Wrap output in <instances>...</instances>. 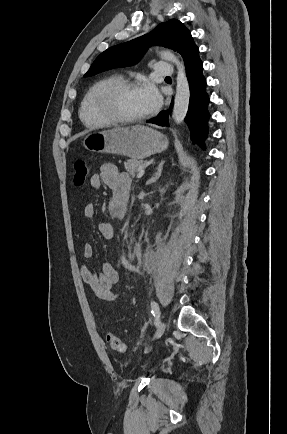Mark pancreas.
Wrapping results in <instances>:
<instances>
[{"mask_svg":"<svg viewBox=\"0 0 287 434\" xmlns=\"http://www.w3.org/2000/svg\"><path fill=\"white\" fill-rule=\"evenodd\" d=\"M142 167H144V163L142 161L128 160L127 162H125V169L132 176H135L138 170Z\"/></svg>","mask_w":287,"mask_h":434,"instance_id":"1","label":"pancreas"}]
</instances>
